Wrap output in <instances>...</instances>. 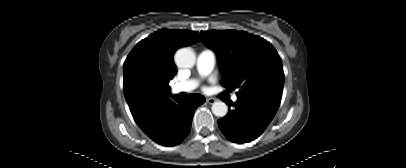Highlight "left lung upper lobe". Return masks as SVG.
Segmentation results:
<instances>
[{
    "label": "left lung upper lobe",
    "mask_w": 406,
    "mask_h": 168,
    "mask_svg": "<svg viewBox=\"0 0 406 168\" xmlns=\"http://www.w3.org/2000/svg\"><path fill=\"white\" fill-rule=\"evenodd\" d=\"M201 34L204 43L218 56L223 86L238 88L237 97L280 103L284 86L282 61L268 41L235 30Z\"/></svg>",
    "instance_id": "5c2ea615"
}]
</instances>
